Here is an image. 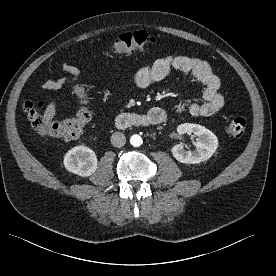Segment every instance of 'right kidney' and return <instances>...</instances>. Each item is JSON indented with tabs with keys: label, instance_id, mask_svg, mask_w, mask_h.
Listing matches in <instances>:
<instances>
[{
	"label": "right kidney",
	"instance_id": "right-kidney-1",
	"mask_svg": "<svg viewBox=\"0 0 276 276\" xmlns=\"http://www.w3.org/2000/svg\"><path fill=\"white\" fill-rule=\"evenodd\" d=\"M98 161L95 152L86 146H76L64 157L65 168L79 176H90L97 169Z\"/></svg>",
	"mask_w": 276,
	"mask_h": 276
}]
</instances>
